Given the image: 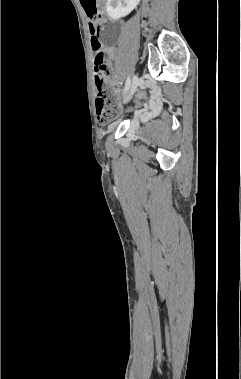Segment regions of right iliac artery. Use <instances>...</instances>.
<instances>
[{"instance_id":"82829eb1","label":"right iliac artery","mask_w":241,"mask_h":379,"mask_svg":"<svg viewBox=\"0 0 241 379\" xmlns=\"http://www.w3.org/2000/svg\"><path fill=\"white\" fill-rule=\"evenodd\" d=\"M130 84H131V79H130V77H128L127 78V80H126V84H125V87H124V94L128 91V89H129V87H130ZM154 105H152V107H153Z\"/></svg>"}]
</instances>
